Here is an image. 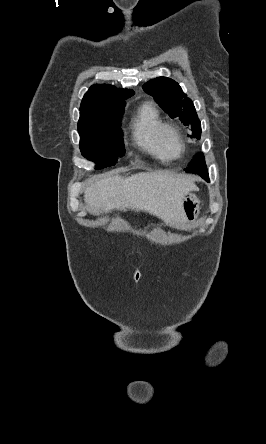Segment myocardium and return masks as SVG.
Instances as JSON below:
<instances>
[{"mask_svg": "<svg viewBox=\"0 0 266 444\" xmlns=\"http://www.w3.org/2000/svg\"><path fill=\"white\" fill-rule=\"evenodd\" d=\"M169 130H171V131H173V132H175L177 134V136H178V138L180 140V147H181L180 148V152H179V154L177 156H182L184 154V152H185V149H186V142H185V139H184V136H183L181 130L176 125H174V124L163 123L160 126V128L158 130V143H159V146H160L161 150L163 151V153L166 155V157H173L167 151V149H166V147L164 145V141H163L164 134L167 131H169Z\"/></svg>", "mask_w": 266, "mask_h": 444, "instance_id": "myocardium-1", "label": "myocardium"}]
</instances>
